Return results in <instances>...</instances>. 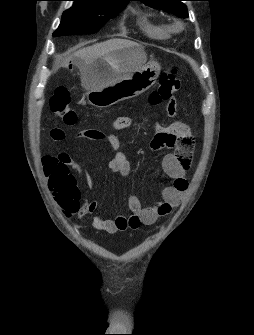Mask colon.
<instances>
[{
	"instance_id": "1",
	"label": "colon",
	"mask_w": 254,
	"mask_h": 335,
	"mask_svg": "<svg viewBox=\"0 0 254 335\" xmlns=\"http://www.w3.org/2000/svg\"><path fill=\"white\" fill-rule=\"evenodd\" d=\"M180 87L181 80L179 78V70L171 69L164 71L160 76L159 87L149 95L150 104L159 105L162 102L169 104V95L178 91ZM70 103L71 96L66 87L56 88L49 99L51 112L59 117L65 125L73 127L78 123V116ZM167 141L171 143L172 138H167ZM58 166L62 167L58 157L48 156L44 158L45 173L48 176L50 188L56 190L59 199H64L66 196L71 195L77 200L80 196L79 191L63 177L64 169H58Z\"/></svg>"
}]
</instances>
